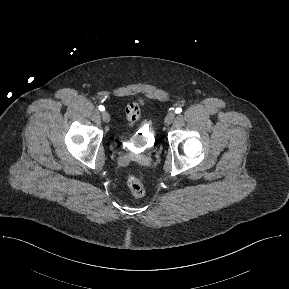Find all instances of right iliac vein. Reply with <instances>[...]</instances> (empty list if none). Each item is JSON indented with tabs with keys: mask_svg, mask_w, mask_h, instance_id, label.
Segmentation results:
<instances>
[{
	"mask_svg": "<svg viewBox=\"0 0 289 289\" xmlns=\"http://www.w3.org/2000/svg\"><path fill=\"white\" fill-rule=\"evenodd\" d=\"M102 117H103V119H104L105 121L108 120V114H107L106 112H103V113H102Z\"/></svg>",
	"mask_w": 289,
	"mask_h": 289,
	"instance_id": "63e3f726",
	"label": "right iliac vein"
}]
</instances>
